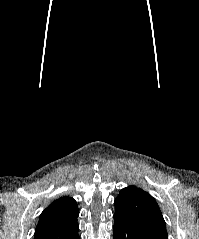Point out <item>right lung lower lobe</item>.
<instances>
[{"mask_svg":"<svg viewBox=\"0 0 199 239\" xmlns=\"http://www.w3.org/2000/svg\"><path fill=\"white\" fill-rule=\"evenodd\" d=\"M78 230L76 218L57 226L38 228L35 231L34 239H80Z\"/></svg>","mask_w":199,"mask_h":239,"instance_id":"obj_1","label":"right lung lower lobe"}]
</instances>
